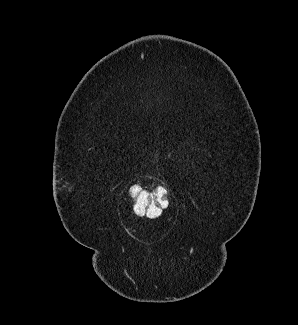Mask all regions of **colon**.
I'll return each instance as SVG.
<instances>
[{
	"label": "colon",
	"instance_id": "1",
	"mask_svg": "<svg viewBox=\"0 0 298 325\" xmlns=\"http://www.w3.org/2000/svg\"><path fill=\"white\" fill-rule=\"evenodd\" d=\"M130 195L134 212L146 217L158 216L168 199L167 190L163 187L146 189L135 186L130 190Z\"/></svg>",
	"mask_w": 298,
	"mask_h": 325
}]
</instances>
